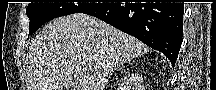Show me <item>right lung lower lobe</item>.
Here are the masks:
<instances>
[{
	"label": "right lung lower lobe",
	"mask_w": 216,
	"mask_h": 90,
	"mask_svg": "<svg viewBox=\"0 0 216 90\" xmlns=\"http://www.w3.org/2000/svg\"><path fill=\"white\" fill-rule=\"evenodd\" d=\"M83 13L159 50L174 66L182 44L184 3H105Z\"/></svg>",
	"instance_id": "1"
}]
</instances>
